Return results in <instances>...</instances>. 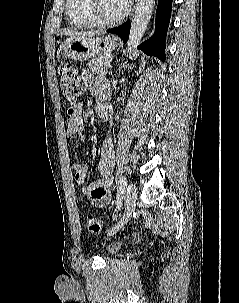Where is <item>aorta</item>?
I'll use <instances>...</instances> for the list:
<instances>
[{
	"mask_svg": "<svg viewBox=\"0 0 239 303\" xmlns=\"http://www.w3.org/2000/svg\"><path fill=\"white\" fill-rule=\"evenodd\" d=\"M154 5L155 0H137L127 43L128 51L134 50L142 40L151 19Z\"/></svg>",
	"mask_w": 239,
	"mask_h": 303,
	"instance_id": "aorta-1",
	"label": "aorta"
}]
</instances>
